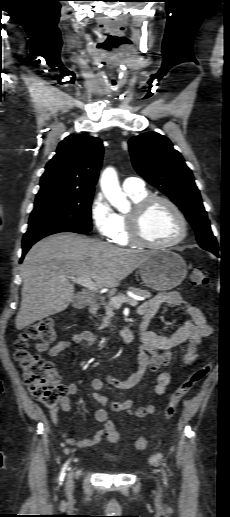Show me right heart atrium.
I'll list each match as a JSON object with an SVG mask.
<instances>
[{
    "mask_svg": "<svg viewBox=\"0 0 230 517\" xmlns=\"http://www.w3.org/2000/svg\"><path fill=\"white\" fill-rule=\"evenodd\" d=\"M90 215L98 234L114 240L119 229V217L102 194H97L90 205Z\"/></svg>",
    "mask_w": 230,
    "mask_h": 517,
    "instance_id": "1",
    "label": "right heart atrium"
}]
</instances>
